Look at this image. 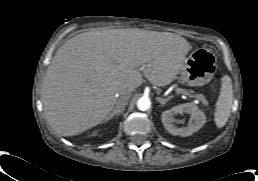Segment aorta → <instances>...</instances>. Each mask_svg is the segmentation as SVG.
Segmentation results:
<instances>
[{
    "instance_id": "1",
    "label": "aorta",
    "mask_w": 258,
    "mask_h": 181,
    "mask_svg": "<svg viewBox=\"0 0 258 181\" xmlns=\"http://www.w3.org/2000/svg\"><path fill=\"white\" fill-rule=\"evenodd\" d=\"M151 102L148 98L141 97L137 101V107L141 111H146L150 108Z\"/></svg>"
}]
</instances>
